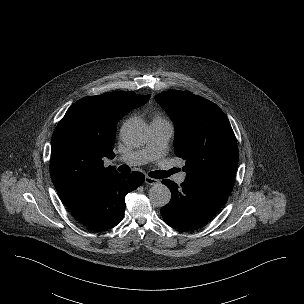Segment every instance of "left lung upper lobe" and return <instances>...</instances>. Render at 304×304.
<instances>
[{
    "mask_svg": "<svg viewBox=\"0 0 304 304\" xmlns=\"http://www.w3.org/2000/svg\"><path fill=\"white\" fill-rule=\"evenodd\" d=\"M155 100L173 120L175 152L186 160L184 182L228 198L238 147L225 114L213 102L185 91L162 92Z\"/></svg>",
    "mask_w": 304,
    "mask_h": 304,
    "instance_id": "5c2ea615",
    "label": "left lung upper lobe"
}]
</instances>
